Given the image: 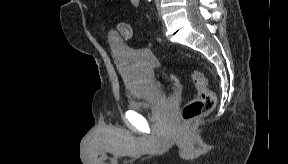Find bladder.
<instances>
[{"label": "bladder", "mask_w": 288, "mask_h": 164, "mask_svg": "<svg viewBox=\"0 0 288 164\" xmlns=\"http://www.w3.org/2000/svg\"><path fill=\"white\" fill-rule=\"evenodd\" d=\"M109 44L129 92V109L149 113L168 102V97L151 74L157 61L150 53L131 48L123 39L111 36Z\"/></svg>", "instance_id": "bladder-1"}]
</instances>
